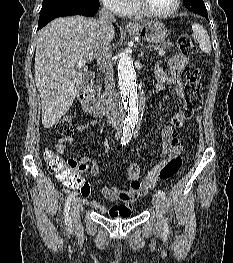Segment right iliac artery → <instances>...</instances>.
Segmentation results:
<instances>
[{
  "mask_svg": "<svg viewBox=\"0 0 233 263\" xmlns=\"http://www.w3.org/2000/svg\"><path fill=\"white\" fill-rule=\"evenodd\" d=\"M131 137H132V134L130 132L123 133V136L121 138L120 144L122 146L128 144V142L130 141ZM76 195H77V192L74 191V192L70 193V195L68 196V198L66 200V204H65V208H64V220H65V224L68 227H71V218H70V215H69L70 204H71V201L75 198Z\"/></svg>",
  "mask_w": 233,
  "mask_h": 263,
  "instance_id": "right-iliac-artery-1",
  "label": "right iliac artery"
}]
</instances>
